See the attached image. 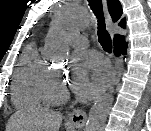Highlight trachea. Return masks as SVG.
<instances>
[{"label":"trachea","instance_id":"1","mask_svg":"<svg viewBox=\"0 0 151 131\" xmlns=\"http://www.w3.org/2000/svg\"><path fill=\"white\" fill-rule=\"evenodd\" d=\"M88 2L98 21V41L100 42L104 51L111 53L112 40L105 26L102 0H88Z\"/></svg>","mask_w":151,"mask_h":131}]
</instances>
